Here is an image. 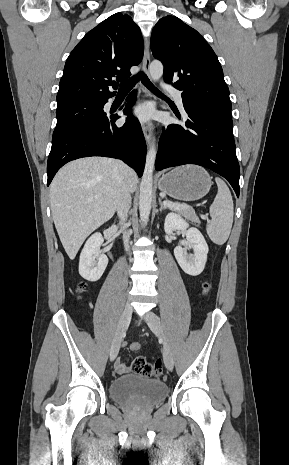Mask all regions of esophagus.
Listing matches in <instances>:
<instances>
[{"mask_svg":"<svg viewBox=\"0 0 289 465\" xmlns=\"http://www.w3.org/2000/svg\"><path fill=\"white\" fill-rule=\"evenodd\" d=\"M150 61H151V58H150L149 41L146 39L145 47H144V56H143V68L147 75L149 74ZM142 91L144 92L146 97L150 95L149 91L144 86H142ZM142 130H143L146 143L149 145L151 143V138H152V124L150 122L142 123Z\"/></svg>","mask_w":289,"mask_h":465,"instance_id":"esophagus-1","label":"esophagus"}]
</instances>
